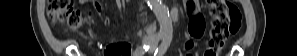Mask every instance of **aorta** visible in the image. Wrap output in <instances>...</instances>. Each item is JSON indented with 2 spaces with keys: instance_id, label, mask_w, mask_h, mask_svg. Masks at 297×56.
<instances>
[{
  "instance_id": "1",
  "label": "aorta",
  "mask_w": 297,
  "mask_h": 56,
  "mask_svg": "<svg viewBox=\"0 0 297 56\" xmlns=\"http://www.w3.org/2000/svg\"><path fill=\"white\" fill-rule=\"evenodd\" d=\"M151 8L160 24L162 34L168 35L172 33V21L169 16V10L161 0H149Z\"/></svg>"
}]
</instances>
